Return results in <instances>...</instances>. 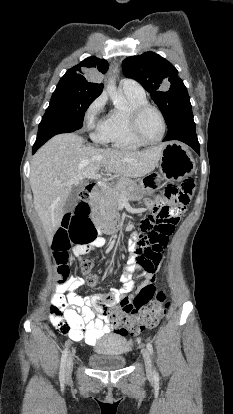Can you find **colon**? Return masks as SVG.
Masks as SVG:
<instances>
[{
  "instance_id": "5ec220e1",
  "label": "colon",
  "mask_w": 233,
  "mask_h": 414,
  "mask_svg": "<svg viewBox=\"0 0 233 414\" xmlns=\"http://www.w3.org/2000/svg\"><path fill=\"white\" fill-rule=\"evenodd\" d=\"M194 181L187 178L181 188L175 184L165 187V195L174 201L175 206H186L194 190ZM86 195L82 193V198ZM174 215L170 206L157 208L141 223V231L132 237L136 248L134 259L137 265L146 271L153 272L161 260V251L167 245L169 235L174 230ZM96 238L93 223L89 216L87 204L80 203L73 213L64 219L53 240L54 257L58 266L60 283L69 277L68 250L71 244L88 248ZM93 263L89 259L80 262V270L86 278L85 287H94L97 278L92 274ZM98 301L108 306L107 320L113 331L122 334H137L144 328H152L163 317L168 306L164 291H157L152 284L141 289L132 299L124 298L112 303L113 295H103Z\"/></svg>"
}]
</instances>
